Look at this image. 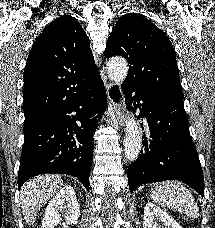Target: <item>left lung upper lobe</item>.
<instances>
[{"label":"left lung upper lobe","mask_w":215,"mask_h":228,"mask_svg":"<svg viewBox=\"0 0 215 228\" xmlns=\"http://www.w3.org/2000/svg\"><path fill=\"white\" fill-rule=\"evenodd\" d=\"M104 54L107 58L120 55L129 62L124 86L143 93L183 97L172 44L142 15L128 13L119 18Z\"/></svg>","instance_id":"1"}]
</instances>
